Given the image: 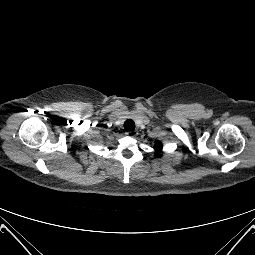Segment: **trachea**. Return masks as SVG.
Returning <instances> with one entry per match:
<instances>
[{
    "label": "trachea",
    "mask_w": 255,
    "mask_h": 255,
    "mask_svg": "<svg viewBox=\"0 0 255 255\" xmlns=\"http://www.w3.org/2000/svg\"><path fill=\"white\" fill-rule=\"evenodd\" d=\"M124 128L127 131H133L135 129V122L132 119H127L124 122Z\"/></svg>",
    "instance_id": "obj_1"
}]
</instances>
